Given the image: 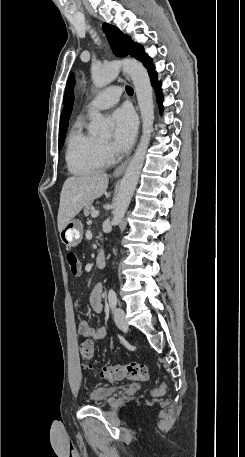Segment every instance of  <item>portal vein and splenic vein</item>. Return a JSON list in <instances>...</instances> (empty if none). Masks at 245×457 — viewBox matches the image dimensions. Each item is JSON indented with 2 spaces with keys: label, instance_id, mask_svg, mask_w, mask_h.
<instances>
[{
  "label": "portal vein and splenic vein",
  "instance_id": "obj_1",
  "mask_svg": "<svg viewBox=\"0 0 245 457\" xmlns=\"http://www.w3.org/2000/svg\"><path fill=\"white\" fill-rule=\"evenodd\" d=\"M99 210H93L91 216H98Z\"/></svg>",
  "mask_w": 245,
  "mask_h": 457
}]
</instances>
